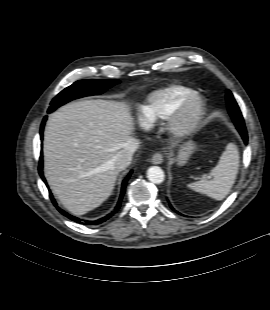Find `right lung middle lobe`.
<instances>
[{"label": "right lung middle lobe", "instance_id": "right-lung-middle-lobe-1", "mask_svg": "<svg viewBox=\"0 0 270 310\" xmlns=\"http://www.w3.org/2000/svg\"><path fill=\"white\" fill-rule=\"evenodd\" d=\"M116 79H87L80 80L61 91L51 102L48 112L54 111L59 106L76 98L98 95L118 84Z\"/></svg>", "mask_w": 270, "mask_h": 310}]
</instances>
